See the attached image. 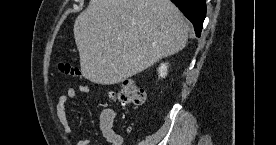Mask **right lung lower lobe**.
I'll list each match as a JSON object with an SVG mask.
<instances>
[{
    "instance_id": "right-lung-lower-lobe-1",
    "label": "right lung lower lobe",
    "mask_w": 276,
    "mask_h": 145,
    "mask_svg": "<svg viewBox=\"0 0 276 145\" xmlns=\"http://www.w3.org/2000/svg\"><path fill=\"white\" fill-rule=\"evenodd\" d=\"M193 23L195 33L201 35L206 15V0H171Z\"/></svg>"
}]
</instances>
